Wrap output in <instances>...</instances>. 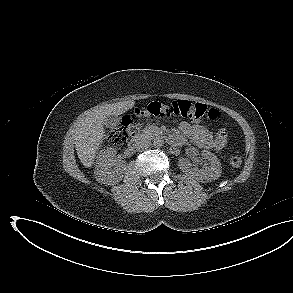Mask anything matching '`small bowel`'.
Segmentation results:
<instances>
[{"label":"small bowel","instance_id":"small-bowel-1","mask_svg":"<svg viewBox=\"0 0 293 293\" xmlns=\"http://www.w3.org/2000/svg\"><path fill=\"white\" fill-rule=\"evenodd\" d=\"M180 130L183 135L191 138L202 149H216L212 134L202 125L183 121L180 124ZM180 141L182 136H176Z\"/></svg>","mask_w":293,"mask_h":293}]
</instances>
